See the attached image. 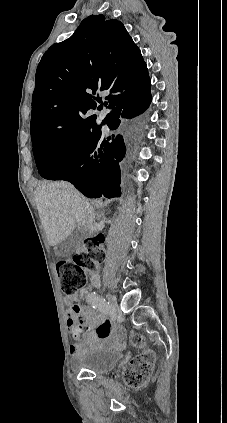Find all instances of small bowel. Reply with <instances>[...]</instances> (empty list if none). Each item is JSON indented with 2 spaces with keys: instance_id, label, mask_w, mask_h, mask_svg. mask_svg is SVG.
<instances>
[{
  "instance_id": "small-bowel-1",
  "label": "small bowel",
  "mask_w": 227,
  "mask_h": 423,
  "mask_svg": "<svg viewBox=\"0 0 227 423\" xmlns=\"http://www.w3.org/2000/svg\"><path fill=\"white\" fill-rule=\"evenodd\" d=\"M75 300H77L76 295L65 298V302L70 305L66 323L75 339L69 348L71 355H80L87 349L96 348L111 340L120 345L123 335L122 328L115 327L110 319L90 308L72 304ZM83 325L87 326L84 335Z\"/></svg>"
}]
</instances>
